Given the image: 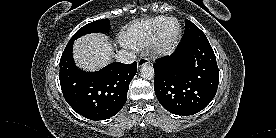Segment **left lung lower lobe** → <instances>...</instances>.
Returning a JSON list of instances; mask_svg holds the SVG:
<instances>
[{"label": "left lung lower lobe", "instance_id": "0a47b994", "mask_svg": "<svg viewBox=\"0 0 276 138\" xmlns=\"http://www.w3.org/2000/svg\"><path fill=\"white\" fill-rule=\"evenodd\" d=\"M153 67L155 95L173 114L193 115L217 92L219 69L208 39L180 43L171 56L156 60Z\"/></svg>", "mask_w": 276, "mask_h": 138}]
</instances>
